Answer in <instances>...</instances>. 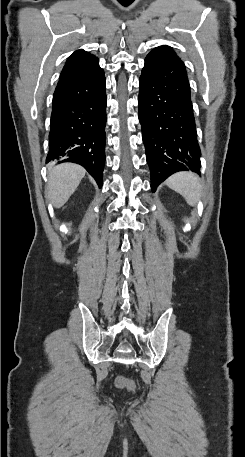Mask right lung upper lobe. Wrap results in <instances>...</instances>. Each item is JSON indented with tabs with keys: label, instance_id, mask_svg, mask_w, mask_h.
Listing matches in <instances>:
<instances>
[{
	"label": "right lung upper lobe",
	"instance_id": "cb5924a9",
	"mask_svg": "<svg viewBox=\"0 0 245 457\" xmlns=\"http://www.w3.org/2000/svg\"><path fill=\"white\" fill-rule=\"evenodd\" d=\"M99 60L84 50L75 51L66 61L60 80L90 73L99 67Z\"/></svg>",
	"mask_w": 245,
	"mask_h": 457
}]
</instances>
